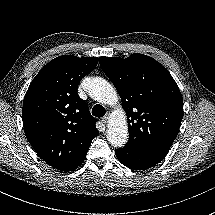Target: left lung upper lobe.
<instances>
[{"label": "left lung upper lobe", "mask_w": 215, "mask_h": 215, "mask_svg": "<svg viewBox=\"0 0 215 215\" xmlns=\"http://www.w3.org/2000/svg\"><path fill=\"white\" fill-rule=\"evenodd\" d=\"M99 62L127 115L129 140L125 146L170 149L181 125L183 99L166 68L136 53L126 59L100 57Z\"/></svg>", "instance_id": "5c2ea615"}]
</instances>
